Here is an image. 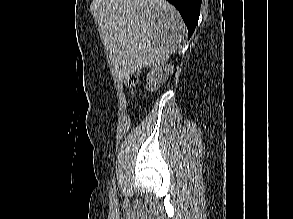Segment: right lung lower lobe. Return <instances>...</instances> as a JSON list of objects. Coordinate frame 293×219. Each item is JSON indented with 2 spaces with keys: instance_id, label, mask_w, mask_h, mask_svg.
<instances>
[{
  "instance_id": "98d812e1",
  "label": "right lung lower lobe",
  "mask_w": 293,
  "mask_h": 219,
  "mask_svg": "<svg viewBox=\"0 0 293 219\" xmlns=\"http://www.w3.org/2000/svg\"><path fill=\"white\" fill-rule=\"evenodd\" d=\"M173 4L180 12L187 28H188V38L192 35L195 27L197 25L200 6L202 0H167Z\"/></svg>"
}]
</instances>
